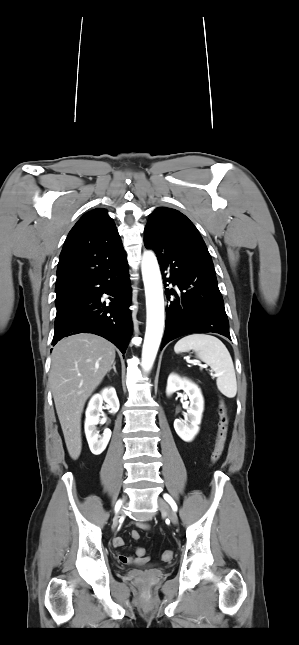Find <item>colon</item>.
Segmentation results:
<instances>
[{"mask_svg": "<svg viewBox=\"0 0 299 645\" xmlns=\"http://www.w3.org/2000/svg\"><path fill=\"white\" fill-rule=\"evenodd\" d=\"M219 417L220 419L218 423L216 442L211 455L212 464L217 463V461L220 459L224 450L226 436H227L228 415H227L226 405L223 401H220V404H219ZM131 535L134 540H138L140 538V534L137 531H133ZM136 554L138 557L144 558L146 555V550L142 547H139L136 550ZM162 558L165 561H170L173 558V552L170 550H165L162 553Z\"/></svg>", "mask_w": 299, "mask_h": 645, "instance_id": "colon-1", "label": "colon"}]
</instances>
